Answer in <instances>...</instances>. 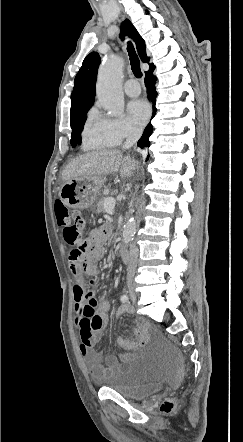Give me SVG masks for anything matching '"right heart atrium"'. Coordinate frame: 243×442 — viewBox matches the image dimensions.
Instances as JSON below:
<instances>
[{
    "label": "right heart atrium",
    "instance_id": "d8ad5b80",
    "mask_svg": "<svg viewBox=\"0 0 243 442\" xmlns=\"http://www.w3.org/2000/svg\"><path fill=\"white\" fill-rule=\"evenodd\" d=\"M104 120L107 132L117 143L135 138L139 134V129L127 118H107Z\"/></svg>",
    "mask_w": 243,
    "mask_h": 442
}]
</instances>
